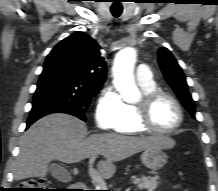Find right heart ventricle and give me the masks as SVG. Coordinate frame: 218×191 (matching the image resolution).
Returning <instances> with one entry per match:
<instances>
[{
  "label": "right heart ventricle",
  "mask_w": 218,
  "mask_h": 191,
  "mask_svg": "<svg viewBox=\"0 0 218 191\" xmlns=\"http://www.w3.org/2000/svg\"><path fill=\"white\" fill-rule=\"evenodd\" d=\"M140 87L144 92L156 89L154 82L148 85L140 84ZM115 131L123 134H141L147 131L142 128L137 121L135 105L128 103L124 104L123 117L117 124Z\"/></svg>",
  "instance_id": "1"
}]
</instances>
